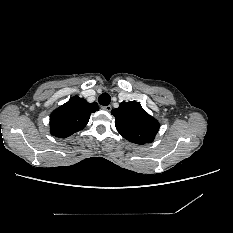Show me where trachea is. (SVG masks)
<instances>
[{
    "label": "trachea",
    "instance_id": "obj_1",
    "mask_svg": "<svg viewBox=\"0 0 233 233\" xmlns=\"http://www.w3.org/2000/svg\"><path fill=\"white\" fill-rule=\"evenodd\" d=\"M98 102L103 106H107L111 102V97L108 93H103L98 97Z\"/></svg>",
    "mask_w": 233,
    "mask_h": 233
}]
</instances>
